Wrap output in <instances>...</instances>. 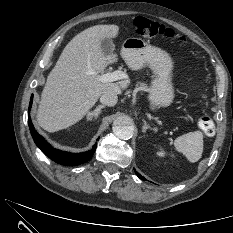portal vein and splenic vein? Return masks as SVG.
I'll use <instances>...</instances> for the list:
<instances>
[{"mask_svg": "<svg viewBox=\"0 0 233 233\" xmlns=\"http://www.w3.org/2000/svg\"><path fill=\"white\" fill-rule=\"evenodd\" d=\"M87 74L92 75L94 74V72L88 71ZM126 78H127V75L123 71H119V70H116L114 72H108L106 74L98 76V80L101 82H114V81L122 80Z\"/></svg>", "mask_w": 233, "mask_h": 233, "instance_id": "1", "label": "portal vein and splenic vein"}]
</instances>
